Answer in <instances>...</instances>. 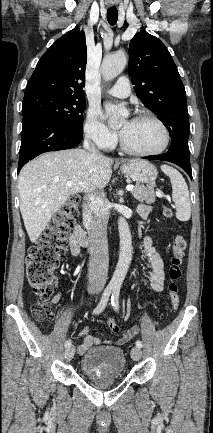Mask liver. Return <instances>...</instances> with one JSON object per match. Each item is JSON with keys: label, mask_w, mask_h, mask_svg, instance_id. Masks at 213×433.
I'll use <instances>...</instances> for the list:
<instances>
[{"label": "liver", "mask_w": 213, "mask_h": 433, "mask_svg": "<svg viewBox=\"0 0 213 433\" xmlns=\"http://www.w3.org/2000/svg\"><path fill=\"white\" fill-rule=\"evenodd\" d=\"M113 160L82 149L45 153L19 173L20 211L30 241L35 243L52 216L79 192L98 193L112 175ZM67 182L73 185L68 187Z\"/></svg>", "instance_id": "6515ba94"}]
</instances>
